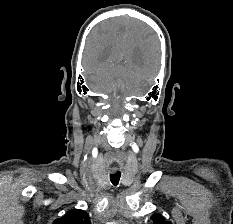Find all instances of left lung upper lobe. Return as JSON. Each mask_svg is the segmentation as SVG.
Masks as SVG:
<instances>
[{"mask_svg":"<svg viewBox=\"0 0 233 224\" xmlns=\"http://www.w3.org/2000/svg\"><path fill=\"white\" fill-rule=\"evenodd\" d=\"M151 220L154 224H172L171 222H167L163 216L160 214H154L151 216Z\"/></svg>","mask_w":233,"mask_h":224,"instance_id":"left-lung-upper-lobe-1","label":"left lung upper lobe"}]
</instances>
